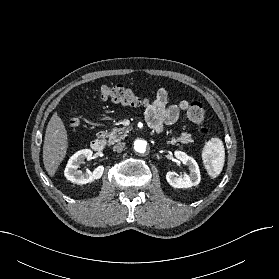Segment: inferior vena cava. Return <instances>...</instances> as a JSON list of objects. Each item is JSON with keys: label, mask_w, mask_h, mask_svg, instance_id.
Masks as SVG:
<instances>
[{"label": "inferior vena cava", "mask_w": 279, "mask_h": 279, "mask_svg": "<svg viewBox=\"0 0 279 279\" xmlns=\"http://www.w3.org/2000/svg\"><path fill=\"white\" fill-rule=\"evenodd\" d=\"M124 147H125V143H124V142L117 143V144L113 147V151H114V152H121V151L123 150Z\"/></svg>", "instance_id": "obj_1"}]
</instances>
